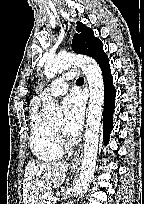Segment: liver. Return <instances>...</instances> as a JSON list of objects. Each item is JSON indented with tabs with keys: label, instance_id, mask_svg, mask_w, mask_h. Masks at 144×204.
<instances>
[{
	"label": "liver",
	"instance_id": "6515ba94",
	"mask_svg": "<svg viewBox=\"0 0 144 204\" xmlns=\"http://www.w3.org/2000/svg\"><path fill=\"white\" fill-rule=\"evenodd\" d=\"M68 163L28 162L23 180V203L37 204L41 194L67 183Z\"/></svg>",
	"mask_w": 144,
	"mask_h": 204
}]
</instances>
